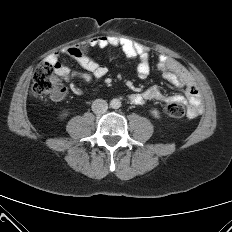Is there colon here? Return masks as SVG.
Masks as SVG:
<instances>
[{
  "instance_id": "1",
  "label": "colon",
  "mask_w": 232,
  "mask_h": 232,
  "mask_svg": "<svg viewBox=\"0 0 232 232\" xmlns=\"http://www.w3.org/2000/svg\"><path fill=\"white\" fill-rule=\"evenodd\" d=\"M88 48L86 43H82L68 49L71 57L82 56ZM62 90L59 79L54 74V64L50 61L40 63L33 75L31 93L36 98L56 96ZM166 115L172 118H181L185 115V106L180 102H166L163 106Z\"/></svg>"
}]
</instances>
